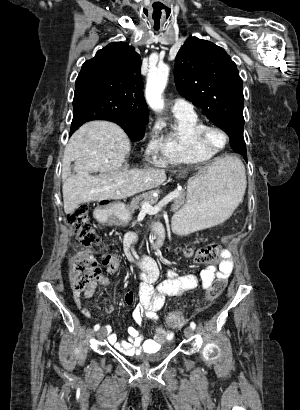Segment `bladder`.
Wrapping results in <instances>:
<instances>
[{
  "instance_id": "obj_1",
  "label": "bladder",
  "mask_w": 300,
  "mask_h": 410,
  "mask_svg": "<svg viewBox=\"0 0 300 410\" xmlns=\"http://www.w3.org/2000/svg\"><path fill=\"white\" fill-rule=\"evenodd\" d=\"M173 345H169L164 349H161L151 355H144V356H135L134 358L143 364H153L162 361L165 359L169 353L172 351Z\"/></svg>"
}]
</instances>
